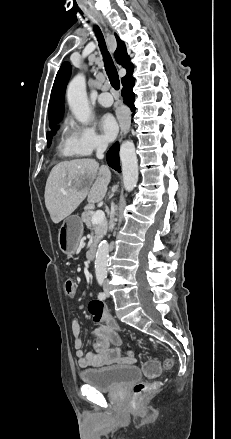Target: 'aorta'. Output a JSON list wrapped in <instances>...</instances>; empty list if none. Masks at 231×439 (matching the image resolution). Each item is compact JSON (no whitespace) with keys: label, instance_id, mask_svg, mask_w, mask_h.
Instances as JSON below:
<instances>
[{"label":"aorta","instance_id":"aorta-1","mask_svg":"<svg viewBox=\"0 0 231 439\" xmlns=\"http://www.w3.org/2000/svg\"><path fill=\"white\" fill-rule=\"evenodd\" d=\"M67 101L69 107L80 123H88L91 110L86 92V79L83 74L76 75L68 85ZM120 160L122 164L123 185L126 191L131 192L138 181V162L135 146L132 141H125L120 147ZM109 244L102 241L96 252L95 274L96 278L107 277Z\"/></svg>","mask_w":231,"mask_h":439}]
</instances>
